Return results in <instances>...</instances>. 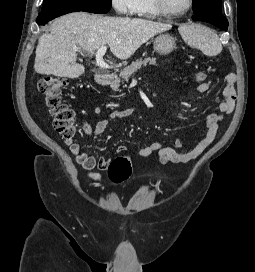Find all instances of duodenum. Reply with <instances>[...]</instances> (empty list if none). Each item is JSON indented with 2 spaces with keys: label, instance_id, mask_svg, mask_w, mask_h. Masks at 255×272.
Segmentation results:
<instances>
[{
  "label": "duodenum",
  "instance_id": "410a0bca",
  "mask_svg": "<svg viewBox=\"0 0 255 272\" xmlns=\"http://www.w3.org/2000/svg\"><path fill=\"white\" fill-rule=\"evenodd\" d=\"M115 73H108V72H98L96 73V83L100 86H107L113 83L116 80Z\"/></svg>",
  "mask_w": 255,
  "mask_h": 272
}]
</instances>
